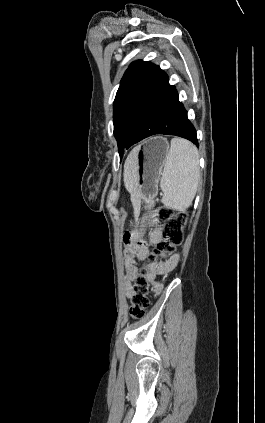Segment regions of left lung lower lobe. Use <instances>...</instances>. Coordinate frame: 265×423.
I'll use <instances>...</instances> for the list:
<instances>
[{"label":"left lung lower lobe","mask_w":265,"mask_h":423,"mask_svg":"<svg viewBox=\"0 0 265 423\" xmlns=\"http://www.w3.org/2000/svg\"><path fill=\"white\" fill-rule=\"evenodd\" d=\"M155 134L176 135L198 146L196 130L187 118L167 74L152 65L133 101L126 124L124 148Z\"/></svg>","instance_id":"0a47b994"}]
</instances>
